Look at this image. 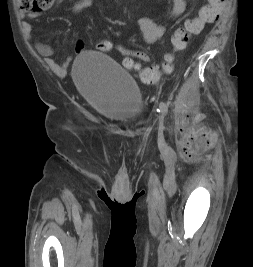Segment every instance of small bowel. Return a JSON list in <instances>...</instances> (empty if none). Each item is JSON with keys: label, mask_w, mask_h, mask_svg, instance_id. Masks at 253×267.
I'll list each match as a JSON object with an SVG mask.
<instances>
[{"label": "small bowel", "mask_w": 253, "mask_h": 267, "mask_svg": "<svg viewBox=\"0 0 253 267\" xmlns=\"http://www.w3.org/2000/svg\"><path fill=\"white\" fill-rule=\"evenodd\" d=\"M172 6L166 15V19L176 18L182 15L187 8V0H171ZM93 4V0H78L72 6V11L75 14L81 13L82 11L90 8ZM31 17H35V14H30ZM140 30L143 38L148 44H155L166 32V25L162 21H156L150 16H143L139 21ZM23 32L27 38H30L32 27L28 22L22 24ZM36 50L41 54L44 60L48 63H53V57L56 55V50L41 42L36 41L34 44ZM84 49V45L81 42L76 44V52L80 53ZM71 58L69 57L63 64V68H66L70 63Z\"/></svg>", "instance_id": "small-bowel-1"}]
</instances>
